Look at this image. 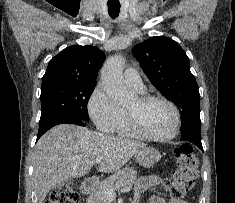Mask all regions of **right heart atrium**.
<instances>
[{
	"label": "right heart atrium",
	"instance_id": "1",
	"mask_svg": "<svg viewBox=\"0 0 235 203\" xmlns=\"http://www.w3.org/2000/svg\"><path fill=\"white\" fill-rule=\"evenodd\" d=\"M87 109L95 126L102 132H114L122 118V109L112 100L102 85L92 91Z\"/></svg>",
	"mask_w": 235,
	"mask_h": 203
}]
</instances>
